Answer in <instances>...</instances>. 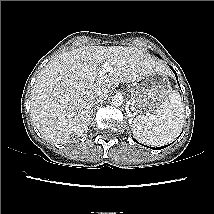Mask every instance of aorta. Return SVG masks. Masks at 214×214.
Segmentation results:
<instances>
[{"label":"aorta","mask_w":214,"mask_h":214,"mask_svg":"<svg viewBox=\"0 0 214 214\" xmlns=\"http://www.w3.org/2000/svg\"><path fill=\"white\" fill-rule=\"evenodd\" d=\"M111 101L114 106H120L123 103V96L121 94H115Z\"/></svg>","instance_id":"1"}]
</instances>
